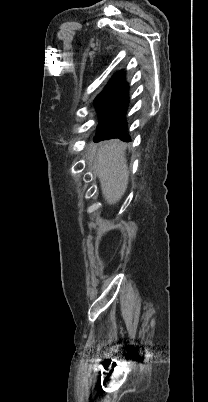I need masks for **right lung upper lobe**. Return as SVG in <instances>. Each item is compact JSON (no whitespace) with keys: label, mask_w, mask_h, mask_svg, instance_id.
Returning a JSON list of instances; mask_svg holds the SVG:
<instances>
[{"label":"right lung upper lobe","mask_w":208,"mask_h":402,"mask_svg":"<svg viewBox=\"0 0 208 402\" xmlns=\"http://www.w3.org/2000/svg\"><path fill=\"white\" fill-rule=\"evenodd\" d=\"M121 73H122V71L117 72V73L112 77V79L108 82V84H107V86L105 87L104 90H106V89L112 90V88H111L112 83L114 82V80H116V79L121 75ZM104 90H103V91H104Z\"/></svg>","instance_id":"right-lung-upper-lobe-1"}]
</instances>
